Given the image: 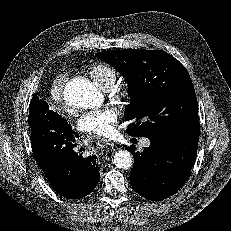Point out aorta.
I'll return each mask as SVG.
<instances>
[{
	"label": "aorta",
	"instance_id": "762f6f07",
	"mask_svg": "<svg viewBox=\"0 0 231 231\" xmlns=\"http://www.w3.org/2000/svg\"><path fill=\"white\" fill-rule=\"evenodd\" d=\"M65 102L75 108L98 107L102 101V94L96 87L85 79L75 78L64 87ZM113 162L119 169L127 170L133 165V158L129 151L118 150L114 154Z\"/></svg>",
	"mask_w": 231,
	"mask_h": 231
}]
</instances>
